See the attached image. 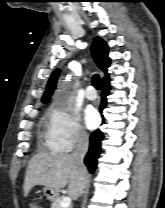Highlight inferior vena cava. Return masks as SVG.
<instances>
[{
    "instance_id": "obj_1",
    "label": "inferior vena cava",
    "mask_w": 165,
    "mask_h": 208,
    "mask_svg": "<svg viewBox=\"0 0 165 208\" xmlns=\"http://www.w3.org/2000/svg\"><path fill=\"white\" fill-rule=\"evenodd\" d=\"M88 146H89L88 135L87 133L81 131L78 135L75 149L71 154V158L82 173L87 172L83 160L88 151Z\"/></svg>"
}]
</instances>
